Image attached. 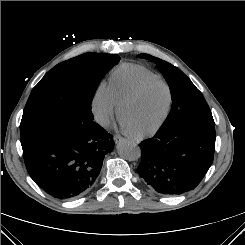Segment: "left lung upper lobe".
Masks as SVG:
<instances>
[{
	"mask_svg": "<svg viewBox=\"0 0 245 245\" xmlns=\"http://www.w3.org/2000/svg\"><path fill=\"white\" fill-rule=\"evenodd\" d=\"M139 57L154 62L169 84L173 104L160 129H165L182 118H194L215 124L203 95L179 68L148 54H139Z\"/></svg>",
	"mask_w": 245,
	"mask_h": 245,
	"instance_id": "5c2ea615",
	"label": "left lung upper lobe"
}]
</instances>
